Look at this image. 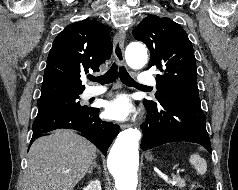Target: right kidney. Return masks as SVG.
Listing matches in <instances>:
<instances>
[{"label":"right kidney","mask_w":238,"mask_h":190,"mask_svg":"<svg viewBox=\"0 0 238 190\" xmlns=\"http://www.w3.org/2000/svg\"><path fill=\"white\" fill-rule=\"evenodd\" d=\"M83 190H101V184L99 180L91 181Z\"/></svg>","instance_id":"obj_1"}]
</instances>
